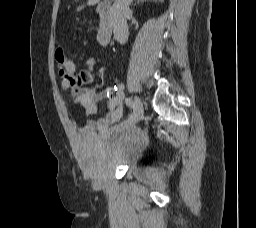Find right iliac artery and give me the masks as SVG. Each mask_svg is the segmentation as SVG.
I'll use <instances>...</instances> for the list:
<instances>
[{"mask_svg":"<svg viewBox=\"0 0 256 228\" xmlns=\"http://www.w3.org/2000/svg\"><path fill=\"white\" fill-rule=\"evenodd\" d=\"M126 104L131 107L132 109H134V102L132 101V99L130 98H126L125 100Z\"/></svg>","mask_w":256,"mask_h":228,"instance_id":"right-iliac-artery-1","label":"right iliac artery"}]
</instances>
